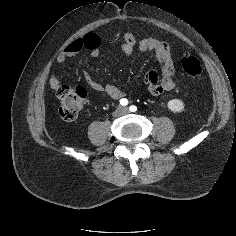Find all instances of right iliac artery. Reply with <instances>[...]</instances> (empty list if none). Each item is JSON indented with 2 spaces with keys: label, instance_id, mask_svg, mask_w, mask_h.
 Here are the masks:
<instances>
[{
  "label": "right iliac artery",
  "instance_id": "82829eb1",
  "mask_svg": "<svg viewBox=\"0 0 236 236\" xmlns=\"http://www.w3.org/2000/svg\"><path fill=\"white\" fill-rule=\"evenodd\" d=\"M120 104H121L122 106H126V105L128 104V100H127L126 98H122V99L120 100Z\"/></svg>",
  "mask_w": 236,
  "mask_h": 236
}]
</instances>
